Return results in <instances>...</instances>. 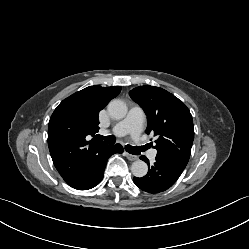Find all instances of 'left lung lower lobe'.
Instances as JSON below:
<instances>
[{"instance_id": "1", "label": "left lung lower lobe", "mask_w": 249, "mask_h": 249, "mask_svg": "<svg viewBox=\"0 0 249 249\" xmlns=\"http://www.w3.org/2000/svg\"><path fill=\"white\" fill-rule=\"evenodd\" d=\"M146 163L149 161L145 156L140 157ZM184 169L170 165L164 161L156 159L146 176L142 178L134 177L133 181L137 187L149 193H159L170 188L180 177Z\"/></svg>"}]
</instances>
